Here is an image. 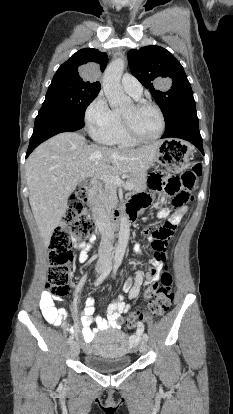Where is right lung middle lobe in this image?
Returning <instances> with one entry per match:
<instances>
[{"label":"right lung middle lobe","mask_w":233,"mask_h":414,"mask_svg":"<svg viewBox=\"0 0 233 414\" xmlns=\"http://www.w3.org/2000/svg\"><path fill=\"white\" fill-rule=\"evenodd\" d=\"M100 88H91L63 80L53 79L43 106L54 107L84 118L87 106L98 95Z\"/></svg>","instance_id":"dd1d6c3e"}]
</instances>
